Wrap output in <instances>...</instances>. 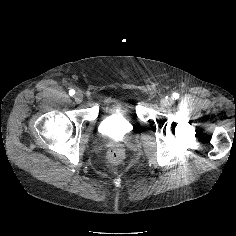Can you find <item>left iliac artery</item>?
Segmentation results:
<instances>
[{
	"mask_svg": "<svg viewBox=\"0 0 236 236\" xmlns=\"http://www.w3.org/2000/svg\"><path fill=\"white\" fill-rule=\"evenodd\" d=\"M173 98H174V99H178V98H179V94H178V93H176V92H175V93H173Z\"/></svg>",
	"mask_w": 236,
	"mask_h": 236,
	"instance_id": "left-iliac-artery-1",
	"label": "left iliac artery"
}]
</instances>
